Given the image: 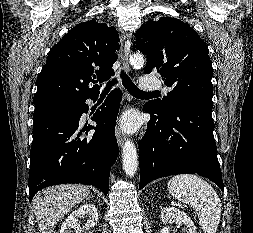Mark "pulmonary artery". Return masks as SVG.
Segmentation results:
<instances>
[{
    "mask_svg": "<svg viewBox=\"0 0 253 233\" xmlns=\"http://www.w3.org/2000/svg\"><path fill=\"white\" fill-rule=\"evenodd\" d=\"M140 85H141V88L147 92L155 93L156 91H158L160 89L164 93H167L169 91L168 87H163L161 82L158 79L152 78V77H144L141 80Z\"/></svg>",
    "mask_w": 253,
    "mask_h": 233,
    "instance_id": "1",
    "label": "pulmonary artery"
}]
</instances>
